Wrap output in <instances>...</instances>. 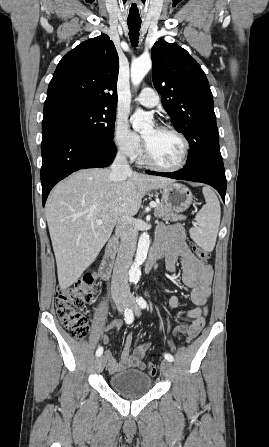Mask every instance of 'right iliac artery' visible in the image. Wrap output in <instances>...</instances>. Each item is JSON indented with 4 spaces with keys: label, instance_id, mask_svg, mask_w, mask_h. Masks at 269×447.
I'll use <instances>...</instances> for the list:
<instances>
[{
    "label": "right iliac artery",
    "instance_id": "1",
    "mask_svg": "<svg viewBox=\"0 0 269 447\" xmlns=\"http://www.w3.org/2000/svg\"><path fill=\"white\" fill-rule=\"evenodd\" d=\"M134 316L133 312L130 308H126L124 312V320L127 324H130L133 322ZM103 354V348L99 347L96 351V356L99 357Z\"/></svg>",
    "mask_w": 269,
    "mask_h": 447
}]
</instances>
